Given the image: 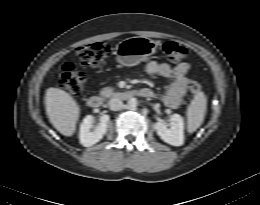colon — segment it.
Returning a JSON list of instances; mask_svg holds the SVG:
<instances>
[{
    "instance_id": "5ec220e1",
    "label": "colon",
    "mask_w": 260,
    "mask_h": 205,
    "mask_svg": "<svg viewBox=\"0 0 260 205\" xmlns=\"http://www.w3.org/2000/svg\"><path fill=\"white\" fill-rule=\"evenodd\" d=\"M163 51L172 63L182 62L187 57V49L174 41H167L163 45ZM76 55L81 63L88 67L99 66L109 55V46L105 42H94L77 48ZM85 83V74L78 70L73 63H66L62 69L60 79L61 87L67 92L78 95ZM192 94L202 92V85L194 80L188 84Z\"/></svg>"
}]
</instances>
